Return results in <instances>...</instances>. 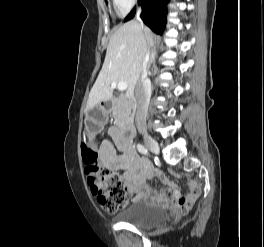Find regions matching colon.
Segmentation results:
<instances>
[{
    "label": "colon",
    "instance_id": "colon-1",
    "mask_svg": "<svg viewBox=\"0 0 264 247\" xmlns=\"http://www.w3.org/2000/svg\"><path fill=\"white\" fill-rule=\"evenodd\" d=\"M82 159L85 164V173L92 194L101 208L108 213H116L128 204V189L121 177L112 170H104L99 163V154L91 146L84 145ZM195 198L188 202L175 204L182 212L187 211Z\"/></svg>",
    "mask_w": 264,
    "mask_h": 247
}]
</instances>
